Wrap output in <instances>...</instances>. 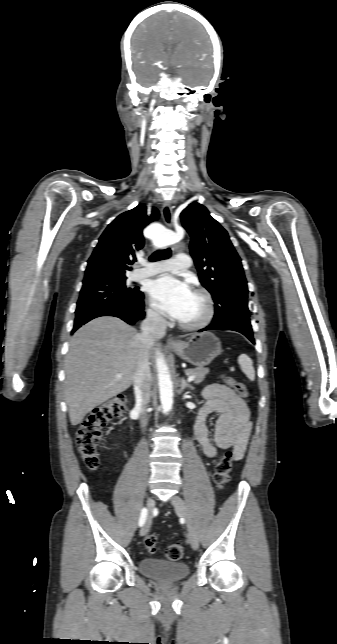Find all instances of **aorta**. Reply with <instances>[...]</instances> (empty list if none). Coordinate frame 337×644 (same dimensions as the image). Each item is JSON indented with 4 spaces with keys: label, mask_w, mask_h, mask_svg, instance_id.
Segmentation results:
<instances>
[{
    "label": "aorta",
    "mask_w": 337,
    "mask_h": 644,
    "mask_svg": "<svg viewBox=\"0 0 337 644\" xmlns=\"http://www.w3.org/2000/svg\"><path fill=\"white\" fill-rule=\"evenodd\" d=\"M149 236L162 244L175 242V238L170 235V232L163 228L151 230L149 232ZM156 366L158 371L160 401L163 411L167 413L171 410L173 405V384L168 366L164 357L160 353L156 358Z\"/></svg>",
    "instance_id": "obj_1"
}]
</instances>
